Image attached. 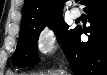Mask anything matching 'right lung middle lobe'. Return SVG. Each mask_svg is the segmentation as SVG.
I'll return each instance as SVG.
<instances>
[{
  "mask_svg": "<svg viewBox=\"0 0 107 75\" xmlns=\"http://www.w3.org/2000/svg\"><path fill=\"white\" fill-rule=\"evenodd\" d=\"M46 23L42 24H21L18 44L13 55V63L19 68L33 66L39 62L37 55L38 51V37L40 32L44 29ZM48 26L54 30L61 41V47L69 41L75 29H69V26L62 18L49 21Z\"/></svg>",
  "mask_w": 107,
  "mask_h": 75,
  "instance_id": "obj_1",
  "label": "right lung middle lobe"
}]
</instances>
